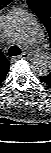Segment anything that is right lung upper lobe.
<instances>
[{"mask_svg":"<svg viewBox=\"0 0 51 153\" xmlns=\"http://www.w3.org/2000/svg\"><path fill=\"white\" fill-rule=\"evenodd\" d=\"M12 0H0V9L4 8L7 6ZM9 62L7 59L4 57V55L1 53L0 50V84L3 82L5 79V76L7 75L9 71Z\"/></svg>","mask_w":51,"mask_h":153,"instance_id":"1","label":"right lung upper lobe"}]
</instances>
